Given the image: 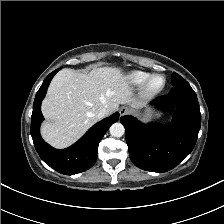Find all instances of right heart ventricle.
<instances>
[{"mask_svg": "<svg viewBox=\"0 0 224 224\" xmlns=\"http://www.w3.org/2000/svg\"><path fill=\"white\" fill-rule=\"evenodd\" d=\"M150 73L140 70H134L127 74L126 78L129 83L141 86Z\"/></svg>", "mask_w": 224, "mask_h": 224, "instance_id": "e07e8e85", "label": "right heart ventricle"}]
</instances>
